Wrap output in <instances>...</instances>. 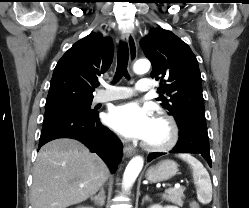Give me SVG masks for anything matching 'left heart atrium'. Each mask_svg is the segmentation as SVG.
Wrapping results in <instances>:
<instances>
[{"mask_svg": "<svg viewBox=\"0 0 249 208\" xmlns=\"http://www.w3.org/2000/svg\"><path fill=\"white\" fill-rule=\"evenodd\" d=\"M110 127L128 139L148 141L155 119L148 107L138 102L115 106L107 115Z\"/></svg>", "mask_w": 249, "mask_h": 208, "instance_id": "1", "label": "left heart atrium"}]
</instances>
